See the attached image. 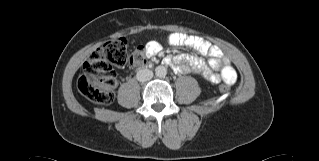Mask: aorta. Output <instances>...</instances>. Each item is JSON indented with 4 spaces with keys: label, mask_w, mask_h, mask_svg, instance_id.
<instances>
[{
    "label": "aorta",
    "mask_w": 319,
    "mask_h": 161,
    "mask_svg": "<svg viewBox=\"0 0 319 161\" xmlns=\"http://www.w3.org/2000/svg\"><path fill=\"white\" fill-rule=\"evenodd\" d=\"M155 74L158 77H165L167 74V69L165 66H157L155 69Z\"/></svg>",
    "instance_id": "aorta-1"
}]
</instances>
